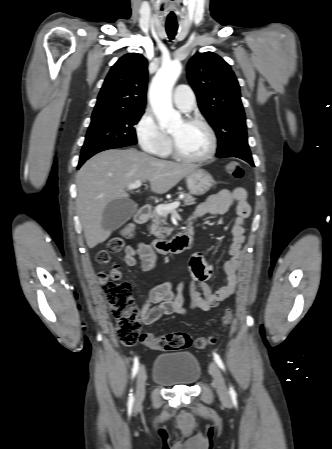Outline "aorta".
I'll list each match as a JSON object with an SVG mask.
<instances>
[{
	"label": "aorta",
	"instance_id": "762f6f07",
	"mask_svg": "<svg viewBox=\"0 0 332 449\" xmlns=\"http://www.w3.org/2000/svg\"><path fill=\"white\" fill-rule=\"evenodd\" d=\"M182 70L179 61L163 64L152 80L149 100L159 125L171 129L181 123V115L172 105V89Z\"/></svg>",
	"mask_w": 332,
	"mask_h": 449
}]
</instances>
